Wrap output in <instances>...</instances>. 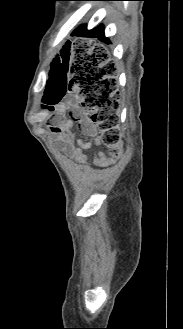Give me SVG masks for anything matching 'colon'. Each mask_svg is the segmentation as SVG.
<instances>
[{
  "label": "colon",
  "mask_w": 183,
  "mask_h": 329,
  "mask_svg": "<svg viewBox=\"0 0 183 329\" xmlns=\"http://www.w3.org/2000/svg\"><path fill=\"white\" fill-rule=\"evenodd\" d=\"M92 37H79L73 55H46L47 73L55 74V81H45V102L50 109H85L97 125L103 143L109 147L107 156H119L116 99L111 96L114 83L100 73H119V66H103V62H115V55H98L100 48L91 49Z\"/></svg>",
  "instance_id": "1"
}]
</instances>
